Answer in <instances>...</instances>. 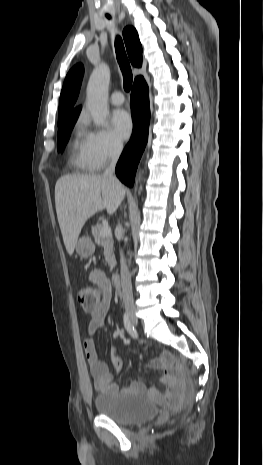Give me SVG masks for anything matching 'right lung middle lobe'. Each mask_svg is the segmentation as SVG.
Here are the masks:
<instances>
[{
	"mask_svg": "<svg viewBox=\"0 0 263 465\" xmlns=\"http://www.w3.org/2000/svg\"><path fill=\"white\" fill-rule=\"evenodd\" d=\"M79 116V113L58 122V142L57 149L62 152L69 140L70 133Z\"/></svg>",
	"mask_w": 263,
	"mask_h": 465,
	"instance_id": "obj_1",
	"label": "right lung middle lobe"
}]
</instances>
